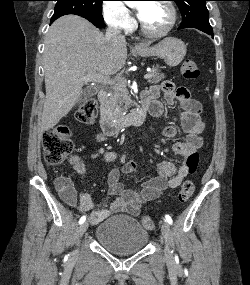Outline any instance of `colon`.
Listing matches in <instances>:
<instances>
[{"mask_svg": "<svg viewBox=\"0 0 250 285\" xmlns=\"http://www.w3.org/2000/svg\"><path fill=\"white\" fill-rule=\"evenodd\" d=\"M182 76L185 79H196L200 75L197 64L191 60L186 59L181 67ZM97 115V103L94 99H89L81 105L77 111V119L81 123H91L95 120ZM73 150V143L70 138V129L66 126H59L49 129L43 134V152L46 162L50 165H59L71 154ZM199 164V154L197 152L191 153L186 165L190 174L196 172ZM195 186L191 180L185 181L179 191L178 199L180 202H186L194 193ZM142 226L147 230H153L155 222L150 216H143L141 218Z\"/></svg>", "mask_w": 250, "mask_h": 285, "instance_id": "obj_1", "label": "colon"}]
</instances>
